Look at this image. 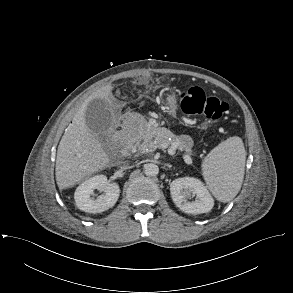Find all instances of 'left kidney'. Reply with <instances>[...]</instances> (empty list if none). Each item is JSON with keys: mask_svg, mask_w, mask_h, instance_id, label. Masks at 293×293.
Instances as JSON below:
<instances>
[{"mask_svg": "<svg viewBox=\"0 0 293 293\" xmlns=\"http://www.w3.org/2000/svg\"><path fill=\"white\" fill-rule=\"evenodd\" d=\"M170 192L175 205L188 214L207 213L214 206L213 197L197 178L183 177L173 180ZM193 196H196L195 201H189Z\"/></svg>", "mask_w": 293, "mask_h": 293, "instance_id": "obj_1", "label": "left kidney"}]
</instances>
